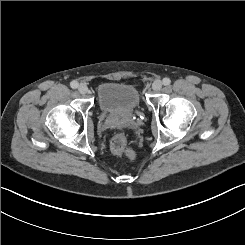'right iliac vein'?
<instances>
[{"instance_id":"63e3f726","label":"right iliac vein","mask_w":245,"mask_h":245,"mask_svg":"<svg viewBox=\"0 0 245 245\" xmlns=\"http://www.w3.org/2000/svg\"><path fill=\"white\" fill-rule=\"evenodd\" d=\"M78 91H79L81 94H85V93L88 91L87 85H85V84H80V85L78 86Z\"/></svg>"}]
</instances>
